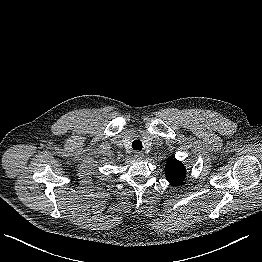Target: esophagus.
<instances>
[{
  "mask_svg": "<svg viewBox=\"0 0 262 262\" xmlns=\"http://www.w3.org/2000/svg\"><path fill=\"white\" fill-rule=\"evenodd\" d=\"M134 157H135L136 159H142V158L144 157V154H143V152H141V151H135V152H134Z\"/></svg>",
  "mask_w": 262,
  "mask_h": 262,
  "instance_id": "1",
  "label": "esophagus"
}]
</instances>
